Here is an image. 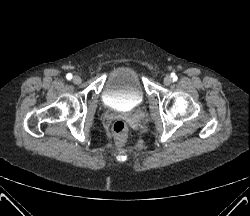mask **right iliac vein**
<instances>
[{
	"label": "right iliac vein",
	"instance_id": "right-iliac-vein-1",
	"mask_svg": "<svg viewBox=\"0 0 250 216\" xmlns=\"http://www.w3.org/2000/svg\"><path fill=\"white\" fill-rule=\"evenodd\" d=\"M73 82H74L75 84H80V83H81V77L78 76V75H75V76L73 77Z\"/></svg>",
	"mask_w": 250,
	"mask_h": 216
}]
</instances>
